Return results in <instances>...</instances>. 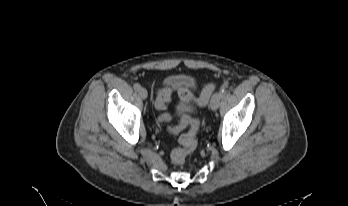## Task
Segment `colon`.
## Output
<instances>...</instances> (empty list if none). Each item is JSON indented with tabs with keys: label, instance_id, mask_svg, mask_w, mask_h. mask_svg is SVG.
Here are the masks:
<instances>
[{
	"label": "colon",
	"instance_id": "colon-1",
	"mask_svg": "<svg viewBox=\"0 0 348 206\" xmlns=\"http://www.w3.org/2000/svg\"><path fill=\"white\" fill-rule=\"evenodd\" d=\"M215 90L214 84H208L203 89V92L200 96V98L196 99L194 102L197 105H205L213 91ZM181 97L189 99L191 94L187 90H183L180 92ZM170 97V91L164 90L162 91L156 101V107L159 110H164L166 107V104ZM161 119L163 121H167L169 119V115L164 113L161 115ZM189 127V130L186 134L182 135L179 138V142L181 144V147H178L174 150H172L170 154L171 162L174 165H182L185 162L186 157L194 151L196 148V135L199 130V122L195 119H192L189 116H184L180 128Z\"/></svg>",
	"mask_w": 348,
	"mask_h": 206
}]
</instances>
